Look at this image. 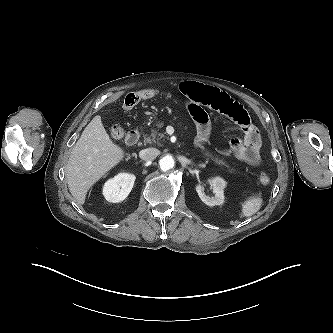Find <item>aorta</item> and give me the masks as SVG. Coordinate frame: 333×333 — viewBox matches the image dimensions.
Listing matches in <instances>:
<instances>
[{
  "label": "aorta",
  "instance_id": "762f6f07",
  "mask_svg": "<svg viewBox=\"0 0 333 333\" xmlns=\"http://www.w3.org/2000/svg\"><path fill=\"white\" fill-rule=\"evenodd\" d=\"M159 164H160V169L166 172L174 167L175 161L171 155H166L160 159Z\"/></svg>",
  "mask_w": 333,
  "mask_h": 333
}]
</instances>
